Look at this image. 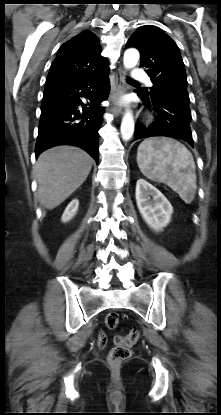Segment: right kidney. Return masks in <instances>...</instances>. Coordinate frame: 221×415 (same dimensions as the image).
<instances>
[{
  "mask_svg": "<svg viewBox=\"0 0 221 415\" xmlns=\"http://www.w3.org/2000/svg\"><path fill=\"white\" fill-rule=\"evenodd\" d=\"M78 206H79V201L76 200V199L72 200L68 204V206L66 207V209H65V211L62 215V218H61L62 222H68L69 220H71L75 216V214L78 210Z\"/></svg>",
  "mask_w": 221,
  "mask_h": 415,
  "instance_id": "1",
  "label": "right kidney"
}]
</instances>
